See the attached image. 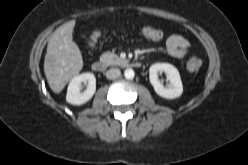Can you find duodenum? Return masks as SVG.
I'll list each match as a JSON object with an SVG mask.
<instances>
[{"mask_svg":"<svg viewBox=\"0 0 248 165\" xmlns=\"http://www.w3.org/2000/svg\"><path fill=\"white\" fill-rule=\"evenodd\" d=\"M130 65L132 67L138 68L141 66L140 62L134 61L131 62ZM91 68L93 71L97 72V73H102L106 70V63L102 60H95L92 64H91Z\"/></svg>","mask_w":248,"mask_h":165,"instance_id":"410a0bca","label":"duodenum"}]
</instances>
